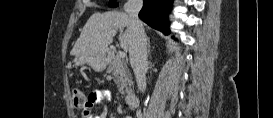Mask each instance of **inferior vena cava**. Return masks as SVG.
<instances>
[{
	"label": "inferior vena cava",
	"mask_w": 273,
	"mask_h": 118,
	"mask_svg": "<svg viewBox=\"0 0 273 118\" xmlns=\"http://www.w3.org/2000/svg\"><path fill=\"white\" fill-rule=\"evenodd\" d=\"M142 0H128L124 5V10L130 18L131 39L129 43V58L133 68L138 89L142 92L146 90L147 63V37L143 24L138 17L142 8Z\"/></svg>",
	"instance_id": "inferior-vena-cava-1"
}]
</instances>
